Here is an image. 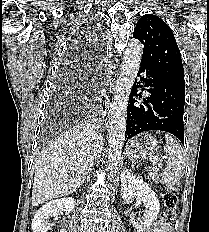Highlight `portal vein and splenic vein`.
Listing matches in <instances>:
<instances>
[{
	"mask_svg": "<svg viewBox=\"0 0 209 232\" xmlns=\"http://www.w3.org/2000/svg\"><path fill=\"white\" fill-rule=\"evenodd\" d=\"M166 159V157H162L161 159H158V157H154L153 158V160H152V162L154 163V164H156L158 161H163V160H165Z\"/></svg>",
	"mask_w": 209,
	"mask_h": 232,
	"instance_id": "portal-vein-and-splenic-vein-1",
	"label": "portal vein and splenic vein"
}]
</instances>
